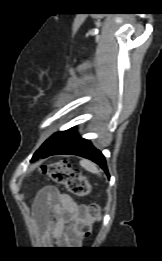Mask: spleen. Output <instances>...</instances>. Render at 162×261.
<instances>
[{
	"label": "spleen",
	"instance_id": "obj_1",
	"mask_svg": "<svg viewBox=\"0 0 162 261\" xmlns=\"http://www.w3.org/2000/svg\"><path fill=\"white\" fill-rule=\"evenodd\" d=\"M80 165L87 171L100 175V171L97 168V165L89 160L83 159L80 161Z\"/></svg>",
	"mask_w": 162,
	"mask_h": 261
}]
</instances>
